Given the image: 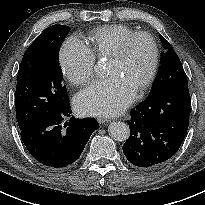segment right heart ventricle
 <instances>
[{
    "label": "right heart ventricle",
    "mask_w": 205,
    "mask_h": 205,
    "mask_svg": "<svg viewBox=\"0 0 205 205\" xmlns=\"http://www.w3.org/2000/svg\"><path fill=\"white\" fill-rule=\"evenodd\" d=\"M133 33L135 30L122 24L104 26L89 34L88 47L95 58H111L124 39Z\"/></svg>",
    "instance_id": "e07e8e85"
}]
</instances>
